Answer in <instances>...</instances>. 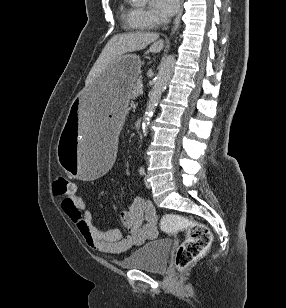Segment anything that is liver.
Instances as JSON below:
<instances>
[{
  "instance_id": "liver-1",
  "label": "liver",
  "mask_w": 286,
  "mask_h": 308,
  "mask_svg": "<svg viewBox=\"0 0 286 308\" xmlns=\"http://www.w3.org/2000/svg\"><path fill=\"white\" fill-rule=\"evenodd\" d=\"M148 52L159 53L164 48V41L159 39L157 33L130 32L113 36L105 45L103 51L93 65L85 81V86H89L102 71L115 59L129 52L145 49L150 45Z\"/></svg>"
}]
</instances>
